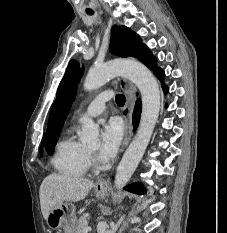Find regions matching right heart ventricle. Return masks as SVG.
I'll return each instance as SVG.
<instances>
[{
    "instance_id": "e07e8e85",
    "label": "right heart ventricle",
    "mask_w": 227,
    "mask_h": 233,
    "mask_svg": "<svg viewBox=\"0 0 227 233\" xmlns=\"http://www.w3.org/2000/svg\"><path fill=\"white\" fill-rule=\"evenodd\" d=\"M52 165L64 176L83 177L89 169V155L84 146L68 133L57 143Z\"/></svg>"
}]
</instances>
